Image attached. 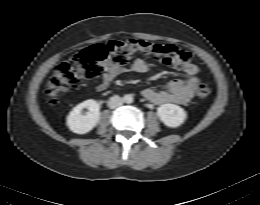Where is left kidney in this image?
Returning a JSON list of instances; mask_svg holds the SVG:
<instances>
[{
    "instance_id": "obj_1",
    "label": "left kidney",
    "mask_w": 260,
    "mask_h": 205,
    "mask_svg": "<svg viewBox=\"0 0 260 205\" xmlns=\"http://www.w3.org/2000/svg\"><path fill=\"white\" fill-rule=\"evenodd\" d=\"M157 114L160 120L170 128H177L181 126L187 114L183 108L175 104H163L157 109Z\"/></svg>"
}]
</instances>
